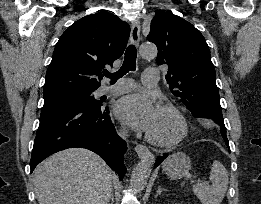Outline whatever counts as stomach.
Instances as JSON below:
<instances>
[{"label":"stomach","mask_w":261,"mask_h":204,"mask_svg":"<svg viewBox=\"0 0 261 204\" xmlns=\"http://www.w3.org/2000/svg\"><path fill=\"white\" fill-rule=\"evenodd\" d=\"M190 168L191 160L182 152L171 155L163 165L164 171L171 179H180L188 175Z\"/></svg>","instance_id":"0dacf381"}]
</instances>
